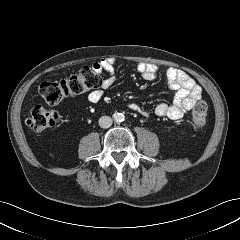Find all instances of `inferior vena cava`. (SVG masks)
<instances>
[{
    "label": "inferior vena cava",
    "instance_id": "inferior-vena-cava-1",
    "mask_svg": "<svg viewBox=\"0 0 240 240\" xmlns=\"http://www.w3.org/2000/svg\"><path fill=\"white\" fill-rule=\"evenodd\" d=\"M112 125V119L109 116H102L99 119V126L101 128H108Z\"/></svg>",
    "mask_w": 240,
    "mask_h": 240
}]
</instances>
